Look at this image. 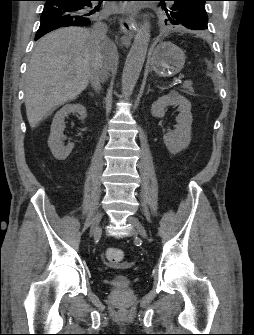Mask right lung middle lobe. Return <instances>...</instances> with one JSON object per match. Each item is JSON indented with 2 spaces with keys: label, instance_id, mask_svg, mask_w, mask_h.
Wrapping results in <instances>:
<instances>
[{
  "label": "right lung middle lobe",
  "instance_id": "obj_1",
  "mask_svg": "<svg viewBox=\"0 0 254 335\" xmlns=\"http://www.w3.org/2000/svg\"><path fill=\"white\" fill-rule=\"evenodd\" d=\"M99 8H100V5L98 6V7H95V12H97L98 10H99ZM94 12V13H95ZM97 14H95V15H93L92 17H95Z\"/></svg>",
  "mask_w": 254,
  "mask_h": 335
}]
</instances>
